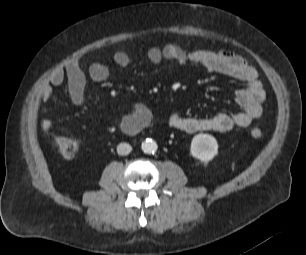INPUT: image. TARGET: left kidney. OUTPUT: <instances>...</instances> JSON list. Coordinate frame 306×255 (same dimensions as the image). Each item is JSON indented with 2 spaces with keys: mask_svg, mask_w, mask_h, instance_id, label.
Here are the masks:
<instances>
[{
  "mask_svg": "<svg viewBox=\"0 0 306 255\" xmlns=\"http://www.w3.org/2000/svg\"><path fill=\"white\" fill-rule=\"evenodd\" d=\"M190 151L196 159L208 162L218 153L217 140L209 134H197L191 141Z\"/></svg>",
  "mask_w": 306,
  "mask_h": 255,
  "instance_id": "5707ae66",
  "label": "left kidney"
}]
</instances>
